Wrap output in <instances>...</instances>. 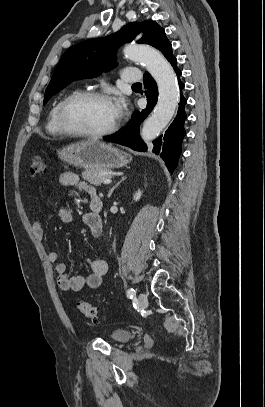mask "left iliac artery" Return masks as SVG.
I'll list each match as a JSON object with an SVG mask.
<instances>
[{"label":"left iliac artery","instance_id":"obj_1","mask_svg":"<svg viewBox=\"0 0 265 407\" xmlns=\"http://www.w3.org/2000/svg\"><path fill=\"white\" fill-rule=\"evenodd\" d=\"M135 296V290L133 288H130L127 290V297L132 299Z\"/></svg>","mask_w":265,"mask_h":407}]
</instances>
